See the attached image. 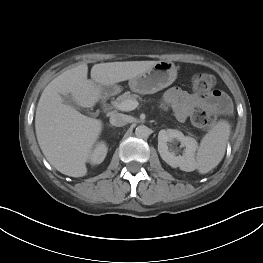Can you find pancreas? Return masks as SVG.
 Here are the masks:
<instances>
[{"mask_svg": "<svg viewBox=\"0 0 263 263\" xmlns=\"http://www.w3.org/2000/svg\"><path fill=\"white\" fill-rule=\"evenodd\" d=\"M140 99V96L137 94H133L130 91H127L123 93L122 95L118 96L115 101L112 102V104L115 106L116 104H119L121 102H124L126 100H137Z\"/></svg>", "mask_w": 263, "mask_h": 263, "instance_id": "cf45deb5", "label": "pancreas"}]
</instances>
